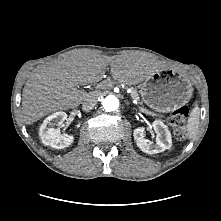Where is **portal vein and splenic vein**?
I'll list each match as a JSON object with an SVG mask.
<instances>
[{
  "label": "portal vein and splenic vein",
  "mask_w": 221,
  "mask_h": 221,
  "mask_svg": "<svg viewBox=\"0 0 221 221\" xmlns=\"http://www.w3.org/2000/svg\"><path fill=\"white\" fill-rule=\"evenodd\" d=\"M107 86H108V84H106V83H100V84L97 86V88L104 89V88H106ZM141 111H142L143 113H146V114H149V115L152 114L151 112H149L148 110H146V109H144V108H141Z\"/></svg>",
  "instance_id": "18ae733b"
}]
</instances>
